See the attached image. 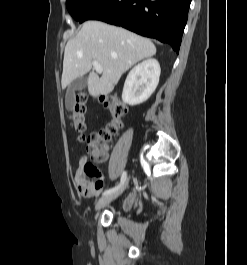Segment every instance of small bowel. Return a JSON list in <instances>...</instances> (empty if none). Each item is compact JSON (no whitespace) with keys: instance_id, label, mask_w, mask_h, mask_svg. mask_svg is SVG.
I'll return each mask as SVG.
<instances>
[{"instance_id":"obj_1","label":"small bowel","mask_w":247,"mask_h":265,"mask_svg":"<svg viewBox=\"0 0 247 265\" xmlns=\"http://www.w3.org/2000/svg\"><path fill=\"white\" fill-rule=\"evenodd\" d=\"M87 162V156L82 155L79 159V167L74 175V184L77 187L78 192L86 198L98 197L103 188V180L96 176V179L90 180L88 174H86L84 167ZM136 202V194L130 193L123 202V209L127 210L131 208Z\"/></svg>"}]
</instances>
